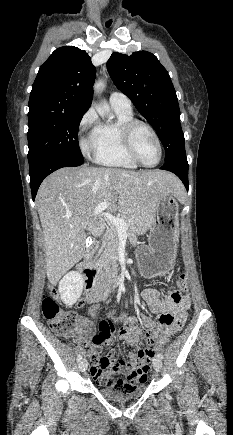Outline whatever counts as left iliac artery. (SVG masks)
Instances as JSON below:
<instances>
[{"label": "left iliac artery", "mask_w": 233, "mask_h": 435, "mask_svg": "<svg viewBox=\"0 0 233 435\" xmlns=\"http://www.w3.org/2000/svg\"><path fill=\"white\" fill-rule=\"evenodd\" d=\"M157 357L160 358V359H162V358H163L162 353H158V354H157Z\"/></svg>", "instance_id": "44dca946"}]
</instances>
